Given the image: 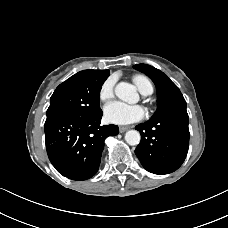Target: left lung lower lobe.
Wrapping results in <instances>:
<instances>
[{"instance_id": "left-lung-lower-lobe-1", "label": "left lung lower lobe", "mask_w": 228, "mask_h": 228, "mask_svg": "<svg viewBox=\"0 0 228 228\" xmlns=\"http://www.w3.org/2000/svg\"><path fill=\"white\" fill-rule=\"evenodd\" d=\"M135 128L141 134L135 154L147 171L163 175L174 172L182 165L189 147L186 104Z\"/></svg>"}]
</instances>
